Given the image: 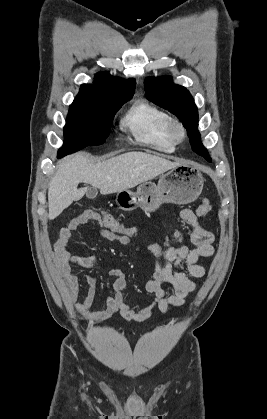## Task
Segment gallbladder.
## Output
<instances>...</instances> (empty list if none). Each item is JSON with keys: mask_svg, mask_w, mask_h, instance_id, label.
I'll return each mask as SVG.
<instances>
[{"mask_svg": "<svg viewBox=\"0 0 267 419\" xmlns=\"http://www.w3.org/2000/svg\"><path fill=\"white\" fill-rule=\"evenodd\" d=\"M98 194L97 188L95 187H90L86 189V195L88 198L90 199H94Z\"/></svg>", "mask_w": 267, "mask_h": 419, "instance_id": "1", "label": "gallbladder"}]
</instances>
